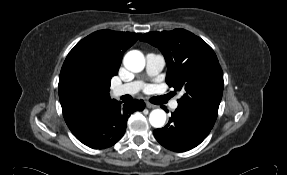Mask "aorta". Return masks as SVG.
<instances>
[{
	"mask_svg": "<svg viewBox=\"0 0 287 175\" xmlns=\"http://www.w3.org/2000/svg\"><path fill=\"white\" fill-rule=\"evenodd\" d=\"M126 69L141 72L145 67L144 55L138 50L129 51L123 59ZM149 122L154 128H162L166 122V113L162 109H154L149 115Z\"/></svg>",
	"mask_w": 287,
	"mask_h": 175,
	"instance_id": "1",
	"label": "aorta"
}]
</instances>
